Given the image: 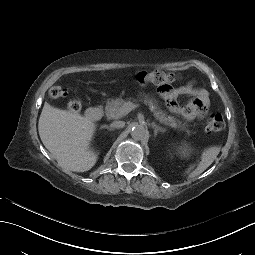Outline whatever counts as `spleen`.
I'll list each match as a JSON object with an SVG mask.
<instances>
[{
    "mask_svg": "<svg viewBox=\"0 0 255 255\" xmlns=\"http://www.w3.org/2000/svg\"><path fill=\"white\" fill-rule=\"evenodd\" d=\"M220 149L218 147H211L205 150L202 154V159L197 168L189 174L190 178L200 175L203 171H205L214 161V159L219 154ZM187 152V148L183 149V153Z\"/></svg>",
    "mask_w": 255,
    "mask_h": 255,
    "instance_id": "obj_1",
    "label": "spleen"
}]
</instances>
